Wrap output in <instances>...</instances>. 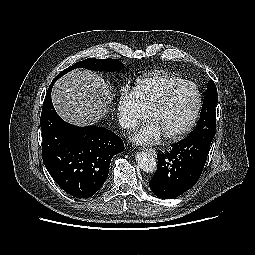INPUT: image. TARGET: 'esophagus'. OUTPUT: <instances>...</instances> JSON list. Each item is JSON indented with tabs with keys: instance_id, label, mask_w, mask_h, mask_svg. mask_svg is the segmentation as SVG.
I'll return each instance as SVG.
<instances>
[{
	"instance_id": "1",
	"label": "esophagus",
	"mask_w": 255,
	"mask_h": 255,
	"mask_svg": "<svg viewBox=\"0 0 255 255\" xmlns=\"http://www.w3.org/2000/svg\"><path fill=\"white\" fill-rule=\"evenodd\" d=\"M144 149H145L146 151L150 152V153H153V154H155V153H156V151H155V149H154V148H148V147H145Z\"/></svg>"
}]
</instances>
